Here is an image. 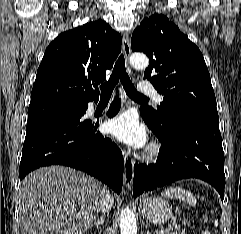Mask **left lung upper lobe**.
Listing matches in <instances>:
<instances>
[{"label": "left lung upper lobe", "mask_w": 241, "mask_h": 234, "mask_svg": "<svg viewBox=\"0 0 241 234\" xmlns=\"http://www.w3.org/2000/svg\"><path fill=\"white\" fill-rule=\"evenodd\" d=\"M131 48L149 57L144 77L164 96L157 111L140 109L143 119L156 130H164L167 119L174 115L219 121L203 55L173 22L157 13L146 17L133 32Z\"/></svg>", "instance_id": "1"}]
</instances>
